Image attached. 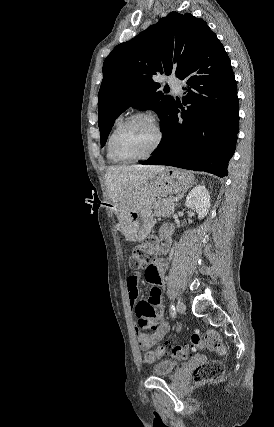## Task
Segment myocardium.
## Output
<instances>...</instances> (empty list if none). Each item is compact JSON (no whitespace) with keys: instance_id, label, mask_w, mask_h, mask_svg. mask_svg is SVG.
I'll return each mask as SVG.
<instances>
[{"instance_id":"f54148a6","label":"myocardium","mask_w":274,"mask_h":427,"mask_svg":"<svg viewBox=\"0 0 274 427\" xmlns=\"http://www.w3.org/2000/svg\"><path fill=\"white\" fill-rule=\"evenodd\" d=\"M137 119H146L154 125V127L157 130V141L148 153H146L142 156L126 158L117 152V150L115 148V136L121 128H123L125 125H127L130 122L137 120ZM164 140H165V133H164V130H163L161 124L159 123V121L152 114H150L148 112H137V113L132 114L131 116L127 117L124 121H122L121 123H119L115 127V129L112 131V133L109 137L108 147H109L111 154L113 155V157L116 160H118L119 162H122V163H131V162H137V161L147 160V159L151 158L161 148V146L164 143Z\"/></svg>"}]
</instances>
